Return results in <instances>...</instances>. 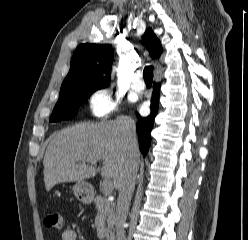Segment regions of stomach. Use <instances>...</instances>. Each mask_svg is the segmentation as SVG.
Masks as SVG:
<instances>
[{
  "label": "stomach",
  "mask_w": 248,
  "mask_h": 240,
  "mask_svg": "<svg viewBox=\"0 0 248 240\" xmlns=\"http://www.w3.org/2000/svg\"><path fill=\"white\" fill-rule=\"evenodd\" d=\"M73 193L75 197L83 203H90L93 199L92 187L85 181L76 182L73 186Z\"/></svg>",
  "instance_id": "1"
}]
</instances>
